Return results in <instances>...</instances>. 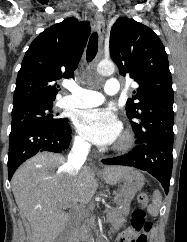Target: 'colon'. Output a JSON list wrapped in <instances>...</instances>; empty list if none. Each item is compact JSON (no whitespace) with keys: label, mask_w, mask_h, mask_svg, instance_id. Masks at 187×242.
Instances as JSON below:
<instances>
[{"label":"colon","mask_w":187,"mask_h":242,"mask_svg":"<svg viewBox=\"0 0 187 242\" xmlns=\"http://www.w3.org/2000/svg\"><path fill=\"white\" fill-rule=\"evenodd\" d=\"M148 204V195L141 192L137 196V206L133 212L131 220V229L133 236L128 242H148L152 229V223L146 219V207Z\"/></svg>","instance_id":"colon-1"}]
</instances>
